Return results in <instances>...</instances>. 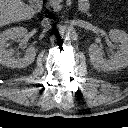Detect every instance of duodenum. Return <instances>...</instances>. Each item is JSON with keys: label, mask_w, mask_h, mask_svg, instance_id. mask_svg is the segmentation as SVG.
Segmentation results:
<instances>
[{"label": "duodenum", "mask_w": 128, "mask_h": 128, "mask_svg": "<svg viewBox=\"0 0 128 128\" xmlns=\"http://www.w3.org/2000/svg\"><path fill=\"white\" fill-rule=\"evenodd\" d=\"M42 0H30V4L35 12H39L42 8ZM80 10L82 12H86L88 10L87 7L80 6Z\"/></svg>", "instance_id": "duodenum-1"}]
</instances>
